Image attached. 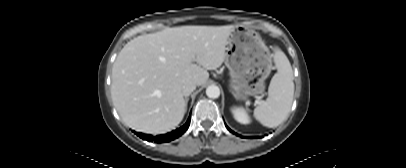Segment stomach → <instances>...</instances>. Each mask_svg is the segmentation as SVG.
Here are the masks:
<instances>
[{
  "label": "stomach",
  "mask_w": 406,
  "mask_h": 168,
  "mask_svg": "<svg viewBox=\"0 0 406 168\" xmlns=\"http://www.w3.org/2000/svg\"><path fill=\"white\" fill-rule=\"evenodd\" d=\"M230 71V88L238 100L262 94L271 73L272 55L260 35L243 25H235L225 53Z\"/></svg>",
  "instance_id": "1"
}]
</instances>
